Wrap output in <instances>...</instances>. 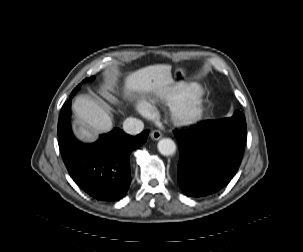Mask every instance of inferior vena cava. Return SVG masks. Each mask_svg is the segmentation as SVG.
<instances>
[{
    "mask_svg": "<svg viewBox=\"0 0 303 252\" xmlns=\"http://www.w3.org/2000/svg\"><path fill=\"white\" fill-rule=\"evenodd\" d=\"M144 124L141 120L129 117L123 122V129L130 135H136L142 132Z\"/></svg>",
    "mask_w": 303,
    "mask_h": 252,
    "instance_id": "inferior-vena-cava-1",
    "label": "inferior vena cava"
}]
</instances>
